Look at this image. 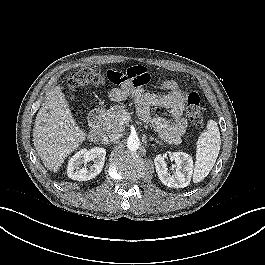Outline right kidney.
Returning a JSON list of instances; mask_svg holds the SVG:
<instances>
[{"label": "right kidney", "mask_w": 265, "mask_h": 265, "mask_svg": "<svg viewBox=\"0 0 265 265\" xmlns=\"http://www.w3.org/2000/svg\"><path fill=\"white\" fill-rule=\"evenodd\" d=\"M105 156L106 149L100 147L78 151L68 162V177L77 181H87L96 177L102 171ZM89 161H93L94 164L90 168H87L85 165Z\"/></svg>", "instance_id": "right-kidney-1"}]
</instances>
